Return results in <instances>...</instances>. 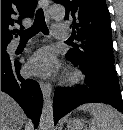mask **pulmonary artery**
Wrapping results in <instances>:
<instances>
[{
  "mask_svg": "<svg viewBox=\"0 0 123 130\" xmlns=\"http://www.w3.org/2000/svg\"><path fill=\"white\" fill-rule=\"evenodd\" d=\"M53 36L56 39H65L69 36V31L67 27L63 24H55L53 26ZM18 46V43H13L12 47L16 48Z\"/></svg>",
  "mask_w": 123,
  "mask_h": 130,
  "instance_id": "obj_1",
  "label": "pulmonary artery"
}]
</instances>
